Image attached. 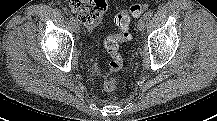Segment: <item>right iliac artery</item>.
<instances>
[{"instance_id": "82829eb1", "label": "right iliac artery", "mask_w": 217, "mask_h": 121, "mask_svg": "<svg viewBox=\"0 0 217 121\" xmlns=\"http://www.w3.org/2000/svg\"><path fill=\"white\" fill-rule=\"evenodd\" d=\"M69 20H70L71 23L76 22V19H75L73 16H70V17H69Z\"/></svg>"}]
</instances>
